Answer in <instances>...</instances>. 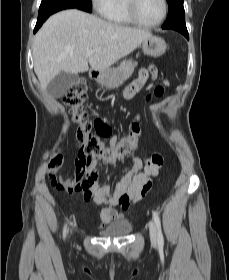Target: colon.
I'll list each match as a JSON object with an SVG mask.
<instances>
[{
  "mask_svg": "<svg viewBox=\"0 0 229 280\" xmlns=\"http://www.w3.org/2000/svg\"><path fill=\"white\" fill-rule=\"evenodd\" d=\"M87 98L86 83L82 80L75 81L69 87L66 103L70 107L71 118L77 123L76 140L78 142V164L86 171V183L84 187L94 184L98 180V173L93 169L96 161L114 163L122 155L132 154L139 143L141 135L140 124L135 121L130 125L129 132L125 134L114 147L107 146L101 140V135L111 132L110 126L102 121H96L87 117L84 103ZM97 128V133H92V128ZM163 157L160 153H152L146 160V168L152 172L157 171L163 165ZM63 163V155L59 149L49 163L50 176L55 177L56 171ZM70 191L75 188L72 185H61ZM151 188V181L143 184L140 196L145 195Z\"/></svg>",
  "mask_w": 229,
  "mask_h": 280,
  "instance_id": "obj_1",
  "label": "colon"
}]
</instances>
